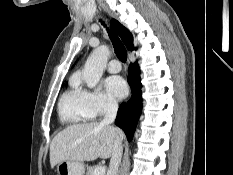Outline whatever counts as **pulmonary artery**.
<instances>
[{
	"label": "pulmonary artery",
	"mask_w": 233,
	"mask_h": 175,
	"mask_svg": "<svg viewBox=\"0 0 233 175\" xmlns=\"http://www.w3.org/2000/svg\"><path fill=\"white\" fill-rule=\"evenodd\" d=\"M107 70L110 73H118L121 70V63L116 59H112L107 65Z\"/></svg>",
	"instance_id": "1"
}]
</instances>
